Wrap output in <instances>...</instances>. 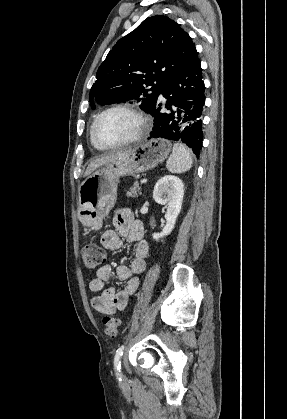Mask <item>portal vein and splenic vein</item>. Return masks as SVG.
I'll return each instance as SVG.
<instances>
[{
    "label": "portal vein and splenic vein",
    "mask_w": 287,
    "mask_h": 419,
    "mask_svg": "<svg viewBox=\"0 0 287 419\" xmlns=\"http://www.w3.org/2000/svg\"><path fill=\"white\" fill-rule=\"evenodd\" d=\"M147 182V179H142L141 184H145Z\"/></svg>",
    "instance_id": "portal-vein-and-splenic-vein-1"
}]
</instances>
